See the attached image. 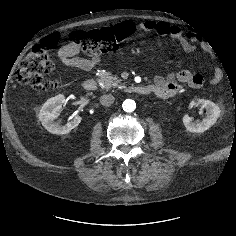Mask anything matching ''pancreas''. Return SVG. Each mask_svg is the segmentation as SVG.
Returning <instances> with one entry per match:
<instances>
[{
	"label": "pancreas",
	"mask_w": 236,
	"mask_h": 236,
	"mask_svg": "<svg viewBox=\"0 0 236 236\" xmlns=\"http://www.w3.org/2000/svg\"><path fill=\"white\" fill-rule=\"evenodd\" d=\"M98 81L104 88L118 87L123 85L122 81L118 77L113 76L110 72H101Z\"/></svg>",
	"instance_id": "obj_1"
}]
</instances>
